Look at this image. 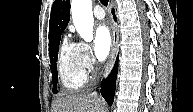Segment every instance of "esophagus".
<instances>
[{
	"label": "esophagus",
	"instance_id": "esophagus-1",
	"mask_svg": "<svg viewBox=\"0 0 193 112\" xmlns=\"http://www.w3.org/2000/svg\"><path fill=\"white\" fill-rule=\"evenodd\" d=\"M111 9H112V1L110 2V10ZM111 33H112V46H111V52H110L109 61H108L107 74L111 71L114 65L116 55H117V50H118L119 36H118L116 25L113 21L111 25Z\"/></svg>",
	"mask_w": 193,
	"mask_h": 112
}]
</instances>
